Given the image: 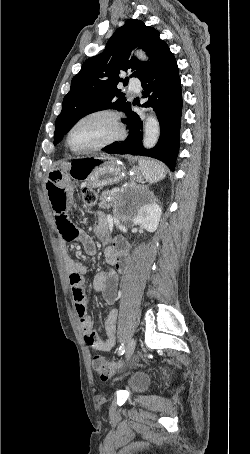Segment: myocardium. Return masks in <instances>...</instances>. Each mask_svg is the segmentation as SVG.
<instances>
[{"instance_id": "1", "label": "myocardium", "mask_w": 250, "mask_h": 454, "mask_svg": "<svg viewBox=\"0 0 250 454\" xmlns=\"http://www.w3.org/2000/svg\"><path fill=\"white\" fill-rule=\"evenodd\" d=\"M100 116L107 117L111 121V123L113 125V129H114L113 135L110 136L109 138H107L106 140H104L96 145H93L91 147H88V148H84V149L73 148L71 145V135H72L73 131L75 130V128L89 119H92L94 117H100ZM124 136H125V130L121 123L118 113L111 109L103 108V109H96V110L90 111V112L84 114L83 116H81L80 118H78L72 124V126L69 128V130L67 132L66 144L73 153L89 154V153H93V152L105 149V148L117 143L118 141L123 139Z\"/></svg>"}]
</instances>
